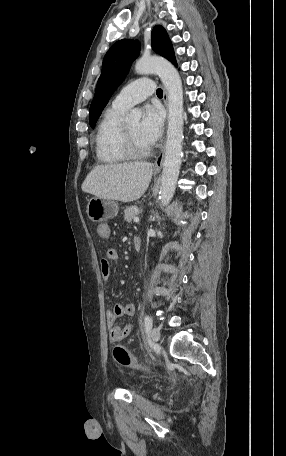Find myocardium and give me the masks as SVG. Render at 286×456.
<instances>
[{"label": "myocardium", "mask_w": 286, "mask_h": 456, "mask_svg": "<svg viewBox=\"0 0 286 456\" xmlns=\"http://www.w3.org/2000/svg\"><path fill=\"white\" fill-rule=\"evenodd\" d=\"M122 144H123V149L125 154L127 155L128 158L131 159H140L148 156L151 151L153 150V145L149 146L148 148L144 150H138L135 147V144L133 142V139L126 127V125H123L122 127Z\"/></svg>", "instance_id": "f54148a6"}]
</instances>
